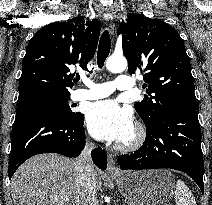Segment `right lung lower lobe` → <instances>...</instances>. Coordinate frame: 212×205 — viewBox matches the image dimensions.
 <instances>
[{"mask_svg": "<svg viewBox=\"0 0 212 205\" xmlns=\"http://www.w3.org/2000/svg\"><path fill=\"white\" fill-rule=\"evenodd\" d=\"M83 124L84 116L73 120L41 106L16 109L9 157V179L25 160L37 154L58 153L77 157L85 145ZM92 159L97 167L106 169L104 150L97 148L92 151Z\"/></svg>", "mask_w": 212, "mask_h": 205, "instance_id": "obj_1", "label": "right lung lower lobe"}]
</instances>
